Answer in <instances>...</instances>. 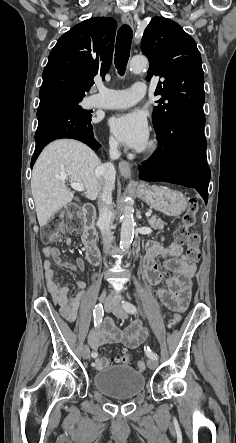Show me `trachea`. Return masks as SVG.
<instances>
[{
    "instance_id": "3493384b",
    "label": "trachea",
    "mask_w": 236,
    "mask_h": 443,
    "mask_svg": "<svg viewBox=\"0 0 236 443\" xmlns=\"http://www.w3.org/2000/svg\"><path fill=\"white\" fill-rule=\"evenodd\" d=\"M133 32L128 25H123L117 33L115 49V67L120 76L126 71V66L130 56Z\"/></svg>"
}]
</instances>
